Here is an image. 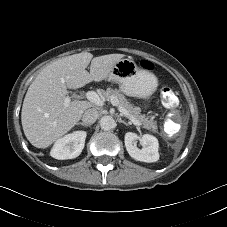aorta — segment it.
Segmentation results:
<instances>
[{"label": "aorta", "mask_w": 227, "mask_h": 227, "mask_svg": "<svg viewBox=\"0 0 227 227\" xmlns=\"http://www.w3.org/2000/svg\"><path fill=\"white\" fill-rule=\"evenodd\" d=\"M115 120L113 119V117L111 116H103L101 119H100V126H101V129L103 130H111L113 128H115Z\"/></svg>", "instance_id": "762f6f07"}]
</instances>
